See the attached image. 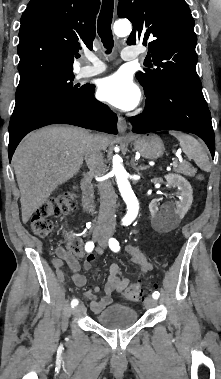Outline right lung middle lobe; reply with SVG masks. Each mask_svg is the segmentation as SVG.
<instances>
[{
  "mask_svg": "<svg viewBox=\"0 0 221 379\" xmlns=\"http://www.w3.org/2000/svg\"><path fill=\"white\" fill-rule=\"evenodd\" d=\"M73 79V70H69L42 73L21 80L9 132L42 110L80 97L88 85L75 84Z\"/></svg>",
  "mask_w": 221,
  "mask_h": 379,
  "instance_id": "obj_1",
  "label": "right lung middle lobe"
}]
</instances>
